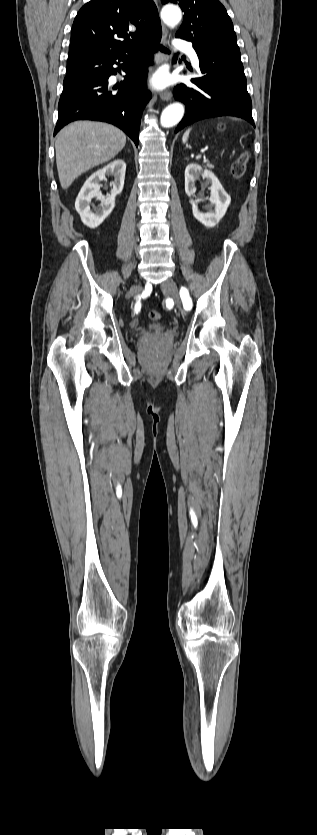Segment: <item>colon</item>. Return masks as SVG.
Returning <instances> with one entry per match:
<instances>
[{
  "instance_id": "colon-1",
  "label": "colon",
  "mask_w": 317,
  "mask_h": 835,
  "mask_svg": "<svg viewBox=\"0 0 317 835\" xmlns=\"http://www.w3.org/2000/svg\"><path fill=\"white\" fill-rule=\"evenodd\" d=\"M249 157V153L244 152L232 163L231 174L235 179H241L246 174ZM149 318L152 321H158L161 319V314L156 310H152L149 312Z\"/></svg>"
}]
</instances>
